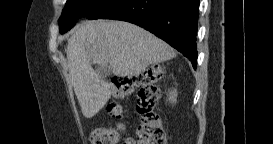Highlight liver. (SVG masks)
I'll list each match as a JSON object with an SVG mask.
<instances>
[{
  "mask_svg": "<svg viewBox=\"0 0 273 144\" xmlns=\"http://www.w3.org/2000/svg\"><path fill=\"white\" fill-rule=\"evenodd\" d=\"M69 79L83 115L92 118L110 99V85L91 62L110 65L116 76H139L148 66L175 57L171 47L137 25L114 20L80 23L67 44Z\"/></svg>",
  "mask_w": 273,
  "mask_h": 144,
  "instance_id": "1",
  "label": "liver"
}]
</instances>
